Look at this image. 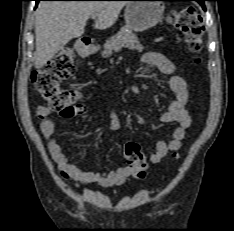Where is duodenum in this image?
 <instances>
[{"instance_id":"410a0bca","label":"duodenum","mask_w":234,"mask_h":231,"mask_svg":"<svg viewBox=\"0 0 234 231\" xmlns=\"http://www.w3.org/2000/svg\"><path fill=\"white\" fill-rule=\"evenodd\" d=\"M93 43L90 38H82L77 43L78 51L84 56H88L92 51Z\"/></svg>"}]
</instances>
